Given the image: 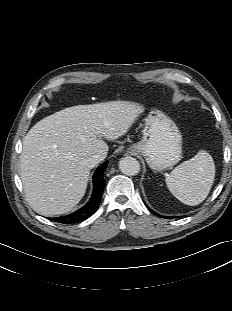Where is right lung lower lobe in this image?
<instances>
[{
  "label": "right lung lower lobe",
  "instance_id": "right-lung-lower-lobe-1",
  "mask_svg": "<svg viewBox=\"0 0 232 311\" xmlns=\"http://www.w3.org/2000/svg\"><path fill=\"white\" fill-rule=\"evenodd\" d=\"M108 165V161L105 162L103 165H101L94 173L93 176V183H94V188H93V193L92 197L89 200V202L79 209L78 211L67 215L63 217H56V218H49L52 221L59 222V223H65V224H72V223H78L81 222L90 216H92L95 211L97 210L101 197L103 194V189L105 185V180L103 179V172L105 168Z\"/></svg>",
  "mask_w": 232,
  "mask_h": 311
}]
</instances>
